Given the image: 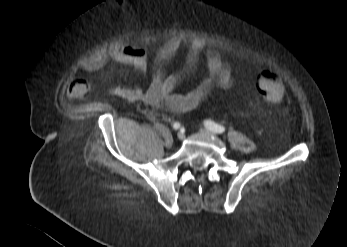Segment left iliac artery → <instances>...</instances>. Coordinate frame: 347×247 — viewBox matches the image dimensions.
<instances>
[{
  "label": "left iliac artery",
  "mask_w": 347,
  "mask_h": 247,
  "mask_svg": "<svg viewBox=\"0 0 347 247\" xmlns=\"http://www.w3.org/2000/svg\"><path fill=\"white\" fill-rule=\"evenodd\" d=\"M204 124H205V126L209 130H211V131H213L215 133H219L220 134V133H223L225 131V128L223 126H221V125H219V124H217V123H215V122H213L211 120L205 121Z\"/></svg>",
  "instance_id": "44dca946"
}]
</instances>
